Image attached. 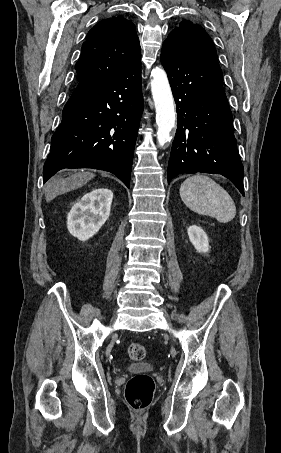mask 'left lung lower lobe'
<instances>
[{"label": "left lung lower lobe", "instance_id": "obj_1", "mask_svg": "<svg viewBox=\"0 0 281 453\" xmlns=\"http://www.w3.org/2000/svg\"><path fill=\"white\" fill-rule=\"evenodd\" d=\"M161 62L178 114L168 183L181 173L222 174L244 195V168L217 60L189 58L164 43Z\"/></svg>", "mask_w": 281, "mask_h": 453}]
</instances>
